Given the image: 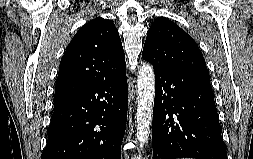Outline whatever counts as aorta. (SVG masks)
Masks as SVG:
<instances>
[{"mask_svg": "<svg viewBox=\"0 0 253 159\" xmlns=\"http://www.w3.org/2000/svg\"><path fill=\"white\" fill-rule=\"evenodd\" d=\"M137 87L136 137L140 150H143L150 133L155 96V74L151 64L140 67Z\"/></svg>", "mask_w": 253, "mask_h": 159, "instance_id": "obj_1", "label": "aorta"}]
</instances>
